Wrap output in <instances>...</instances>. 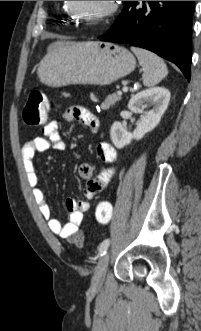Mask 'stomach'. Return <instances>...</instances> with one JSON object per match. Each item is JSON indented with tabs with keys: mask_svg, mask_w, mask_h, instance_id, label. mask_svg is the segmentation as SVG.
I'll return each mask as SVG.
<instances>
[{
	"mask_svg": "<svg viewBox=\"0 0 201 331\" xmlns=\"http://www.w3.org/2000/svg\"><path fill=\"white\" fill-rule=\"evenodd\" d=\"M136 59L126 48L104 41L61 42L48 48L37 74L48 86L109 85L130 74Z\"/></svg>",
	"mask_w": 201,
	"mask_h": 331,
	"instance_id": "obj_1",
	"label": "stomach"
}]
</instances>
